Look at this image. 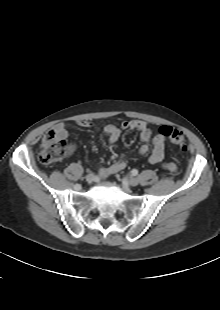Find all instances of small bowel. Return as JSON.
Instances as JSON below:
<instances>
[{"mask_svg": "<svg viewBox=\"0 0 220 310\" xmlns=\"http://www.w3.org/2000/svg\"><path fill=\"white\" fill-rule=\"evenodd\" d=\"M76 124L83 128H92L93 124L87 120H77ZM54 130L63 138L69 137V130L65 123H58L55 125ZM123 130H134L139 133L141 145L138 149L139 155H145L151 151L148 158L150 164H159L163 161L165 156V143L166 138L160 134L153 135V130L147 122L143 120L133 119L123 121L119 124H108L103 128V132L108 138L111 148H115L117 140L120 138ZM76 150L74 144L67 146L68 154L71 155ZM126 167V161L123 156H118L112 163L103 166L99 169V176L106 178L114 173L123 170ZM162 168L170 173H176L178 167L175 163H163Z\"/></svg>", "mask_w": 220, "mask_h": 310, "instance_id": "obj_1", "label": "small bowel"}]
</instances>
